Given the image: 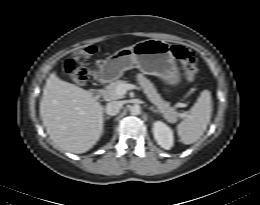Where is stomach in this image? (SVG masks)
Here are the masks:
<instances>
[{"label": "stomach", "instance_id": "stomach-1", "mask_svg": "<svg viewBox=\"0 0 260 205\" xmlns=\"http://www.w3.org/2000/svg\"><path fill=\"white\" fill-rule=\"evenodd\" d=\"M171 45L161 39H147L118 50L103 61L99 70L101 82H111L120 78L133 67L144 74L154 75L170 85H178L181 74Z\"/></svg>", "mask_w": 260, "mask_h": 205}]
</instances>
